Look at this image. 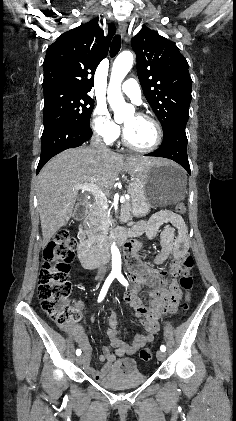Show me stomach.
I'll return each instance as SVG.
<instances>
[{
  "instance_id": "stomach-1",
  "label": "stomach",
  "mask_w": 236,
  "mask_h": 421,
  "mask_svg": "<svg viewBox=\"0 0 236 421\" xmlns=\"http://www.w3.org/2000/svg\"><path fill=\"white\" fill-rule=\"evenodd\" d=\"M128 186L133 217H146L152 206H167L183 200L186 192L185 170L177 164L152 162L137 168Z\"/></svg>"
}]
</instances>
